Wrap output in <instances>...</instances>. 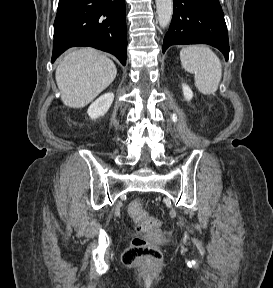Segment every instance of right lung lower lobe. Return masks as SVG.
Listing matches in <instances>:
<instances>
[{
  "mask_svg": "<svg viewBox=\"0 0 273 288\" xmlns=\"http://www.w3.org/2000/svg\"><path fill=\"white\" fill-rule=\"evenodd\" d=\"M73 46H91L109 52L125 65V0H59L52 63Z\"/></svg>",
  "mask_w": 273,
  "mask_h": 288,
  "instance_id": "obj_1",
  "label": "right lung lower lobe"
}]
</instances>
